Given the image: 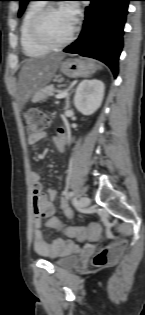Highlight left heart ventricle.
Wrapping results in <instances>:
<instances>
[{
	"instance_id": "obj_1",
	"label": "left heart ventricle",
	"mask_w": 145,
	"mask_h": 315,
	"mask_svg": "<svg viewBox=\"0 0 145 315\" xmlns=\"http://www.w3.org/2000/svg\"><path fill=\"white\" fill-rule=\"evenodd\" d=\"M73 26V20L60 8L46 15L42 23V32L48 40L60 42L70 34Z\"/></svg>"
}]
</instances>
